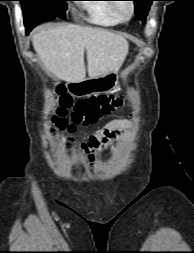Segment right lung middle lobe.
<instances>
[{"mask_svg": "<svg viewBox=\"0 0 194 253\" xmlns=\"http://www.w3.org/2000/svg\"><path fill=\"white\" fill-rule=\"evenodd\" d=\"M22 5L24 24L37 26L56 16L65 19L67 1L69 0H19Z\"/></svg>", "mask_w": 194, "mask_h": 253, "instance_id": "obj_1", "label": "right lung middle lobe"}]
</instances>
